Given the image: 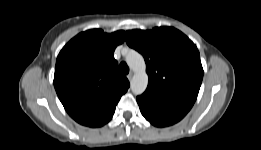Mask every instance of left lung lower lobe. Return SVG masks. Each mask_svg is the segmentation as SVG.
Listing matches in <instances>:
<instances>
[{"mask_svg": "<svg viewBox=\"0 0 261 150\" xmlns=\"http://www.w3.org/2000/svg\"><path fill=\"white\" fill-rule=\"evenodd\" d=\"M142 115L154 126L165 127L180 121L189 110L176 105L145 97L136 98Z\"/></svg>", "mask_w": 261, "mask_h": 150, "instance_id": "left-lung-lower-lobe-1", "label": "left lung lower lobe"}]
</instances>
